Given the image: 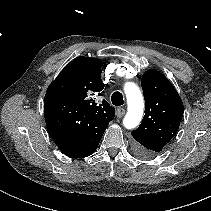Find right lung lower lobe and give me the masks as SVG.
<instances>
[{
    "mask_svg": "<svg viewBox=\"0 0 211 211\" xmlns=\"http://www.w3.org/2000/svg\"><path fill=\"white\" fill-rule=\"evenodd\" d=\"M78 113V104L72 98L46 93L44 117L49 133L58 148L73 158L93 154L107 128L91 124L81 127ZM60 137H63V140H60Z\"/></svg>",
    "mask_w": 211,
    "mask_h": 211,
    "instance_id": "1",
    "label": "right lung lower lobe"
}]
</instances>
